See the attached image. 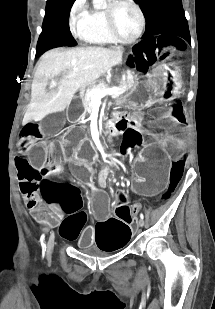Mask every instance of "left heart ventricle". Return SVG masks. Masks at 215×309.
<instances>
[{
  "label": "left heart ventricle",
  "instance_id": "left-heart-ventricle-1",
  "mask_svg": "<svg viewBox=\"0 0 215 309\" xmlns=\"http://www.w3.org/2000/svg\"><path fill=\"white\" fill-rule=\"evenodd\" d=\"M113 16L115 17L113 24L116 25L118 34H129L131 37L135 27V18L133 13L125 7H119L113 11Z\"/></svg>",
  "mask_w": 215,
  "mask_h": 309
}]
</instances>
